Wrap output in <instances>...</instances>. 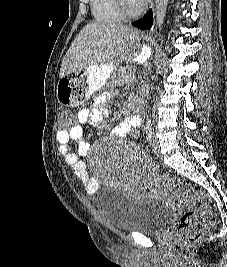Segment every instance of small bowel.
<instances>
[{
  "mask_svg": "<svg viewBox=\"0 0 227 267\" xmlns=\"http://www.w3.org/2000/svg\"><path fill=\"white\" fill-rule=\"evenodd\" d=\"M104 102L103 98H99L98 104ZM104 115L102 109H96L90 106L82 107L76 115V123L70 126V130H58L56 141L59 144V152L64 157L66 163L72 168L75 176L85 185L88 194H94L99 186L98 180L90 175L85 163L80 156L87 153V145L83 141V125L87 122L94 124L100 123ZM141 117L139 115H131L126 117L120 126L115 130L117 136H127L136 131L141 125ZM71 141H75L78 145L79 152L73 151Z\"/></svg>",
  "mask_w": 227,
  "mask_h": 267,
  "instance_id": "small-bowel-1",
  "label": "small bowel"
}]
</instances>
